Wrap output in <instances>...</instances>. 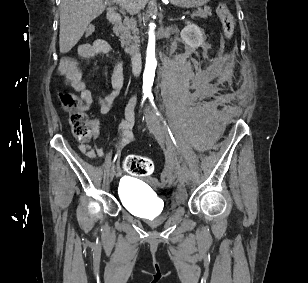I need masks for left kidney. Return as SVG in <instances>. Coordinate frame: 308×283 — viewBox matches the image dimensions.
<instances>
[{"label":"left kidney","instance_id":"1","mask_svg":"<svg viewBox=\"0 0 308 283\" xmlns=\"http://www.w3.org/2000/svg\"><path fill=\"white\" fill-rule=\"evenodd\" d=\"M183 42L192 47L197 48L204 42L202 30L191 22H186L185 28L180 33Z\"/></svg>","mask_w":308,"mask_h":283}]
</instances>
